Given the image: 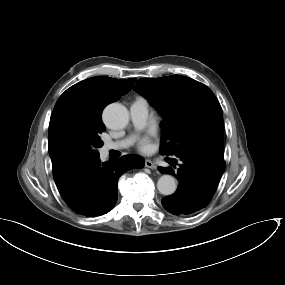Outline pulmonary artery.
Wrapping results in <instances>:
<instances>
[{
    "instance_id": "pulmonary-artery-1",
    "label": "pulmonary artery",
    "mask_w": 285,
    "mask_h": 285,
    "mask_svg": "<svg viewBox=\"0 0 285 285\" xmlns=\"http://www.w3.org/2000/svg\"><path fill=\"white\" fill-rule=\"evenodd\" d=\"M130 118L136 128H142L146 125L148 119V102L140 97L136 98L129 107ZM130 143L129 139L105 142L103 152L107 153L112 150H121L126 148Z\"/></svg>"
}]
</instances>
